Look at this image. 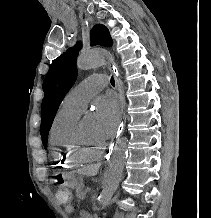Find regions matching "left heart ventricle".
<instances>
[{
    "label": "left heart ventricle",
    "instance_id": "obj_1",
    "mask_svg": "<svg viewBox=\"0 0 211 218\" xmlns=\"http://www.w3.org/2000/svg\"><path fill=\"white\" fill-rule=\"evenodd\" d=\"M81 129L84 137L91 143L100 144L104 139L99 136L94 120L86 121L81 124Z\"/></svg>",
    "mask_w": 211,
    "mask_h": 218
}]
</instances>
